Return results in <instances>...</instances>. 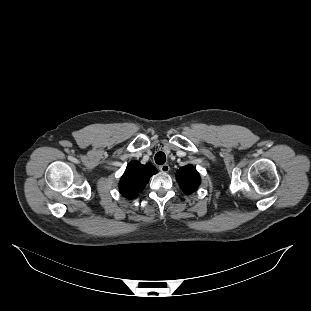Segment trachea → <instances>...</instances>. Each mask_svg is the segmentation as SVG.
Instances as JSON below:
<instances>
[{"label":"trachea","instance_id":"3493384b","mask_svg":"<svg viewBox=\"0 0 311 311\" xmlns=\"http://www.w3.org/2000/svg\"><path fill=\"white\" fill-rule=\"evenodd\" d=\"M165 161H166V155L163 152H158L155 155V162L158 165H163L165 163Z\"/></svg>","mask_w":311,"mask_h":311}]
</instances>
